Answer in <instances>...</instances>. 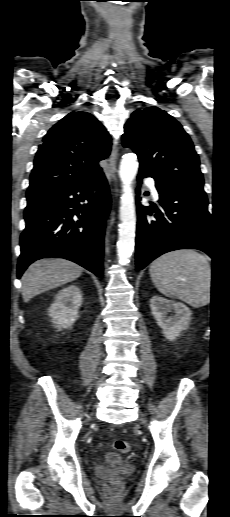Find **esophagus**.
I'll list each match as a JSON object with an SVG mask.
<instances>
[{"label":"esophagus","instance_id":"esophagus-1","mask_svg":"<svg viewBox=\"0 0 230 517\" xmlns=\"http://www.w3.org/2000/svg\"><path fill=\"white\" fill-rule=\"evenodd\" d=\"M117 159H118V147L114 143V145L112 147L111 155H110V158H109V174H110L111 179L113 181H116V171H117L116 164H117Z\"/></svg>","mask_w":230,"mask_h":517}]
</instances>
